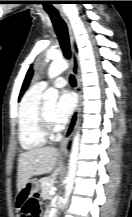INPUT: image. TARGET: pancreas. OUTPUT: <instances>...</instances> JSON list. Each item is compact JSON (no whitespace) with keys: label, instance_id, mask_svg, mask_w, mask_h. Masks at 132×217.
Returning <instances> with one entry per match:
<instances>
[{"label":"pancreas","instance_id":"1","mask_svg":"<svg viewBox=\"0 0 132 217\" xmlns=\"http://www.w3.org/2000/svg\"><path fill=\"white\" fill-rule=\"evenodd\" d=\"M55 183V179L53 177H45L40 180L41 186V196L44 200L50 198V190L53 189Z\"/></svg>","mask_w":132,"mask_h":217}]
</instances>
